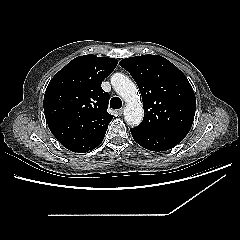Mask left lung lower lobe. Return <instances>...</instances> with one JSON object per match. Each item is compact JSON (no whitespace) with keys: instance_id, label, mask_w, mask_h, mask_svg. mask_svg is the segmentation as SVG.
Returning a JSON list of instances; mask_svg holds the SVG:
<instances>
[{"instance_id":"0a47b994","label":"left lung lower lobe","mask_w":240,"mask_h":240,"mask_svg":"<svg viewBox=\"0 0 240 240\" xmlns=\"http://www.w3.org/2000/svg\"><path fill=\"white\" fill-rule=\"evenodd\" d=\"M134 140L150 151H166L180 143L188 131L184 130H146L139 127L131 128Z\"/></svg>"}]
</instances>
